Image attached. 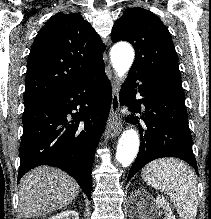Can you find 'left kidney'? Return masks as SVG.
<instances>
[{
  "label": "left kidney",
  "mask_w": 211,
  "mask_h": 219,
  "mask_svg": "<svg viewBox=\"0 0 211 219\" xmlns=\"http://www.w3.org/2000/svg\"><path fill=\"white\" fill-rule=\"evenodd\" d=\"M139 193L141 194V192ZM143 196L144 198L141 199V205L151 206V208L143 215L145 219H156L162 214L164 215V219H176L175 216H173L169 203L163 196L158 195L156 199H152V197L147 192H144Z\"/></svg>",
  "instance_id": "5707ae66"
}]
</instances>
